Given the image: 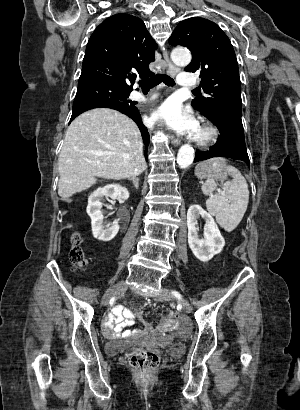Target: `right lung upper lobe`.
<instances>
[{
	"label": "right lung upper lobe",
	"mask_w": 300,
	"mask_h": 410,
	"mask_svg": "<svg viewBox=\"0 0 300 410\" xmlns=\"http://www.w3.org/2000/svg\"><path fill=\"white\" fill-rule=\"evenodd\" d=\"M157 44L139 18L116 14L104 20L91 35L79 82H101L132 91L137 70L141 78L152 76Z\"/></svg>",
	"instance_id": "1"
}]
</instances>
